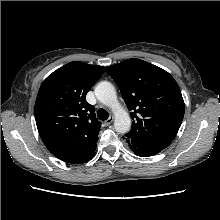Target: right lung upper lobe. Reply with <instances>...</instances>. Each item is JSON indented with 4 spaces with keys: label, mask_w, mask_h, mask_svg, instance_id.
<instances>
[{
    "label": "right lung upper lobe",
    "mask_w": 220,
    "mask_h": 220,
    "mask_svg": "<svg viewBox=\"0 0 220 220\" xmlns=\"http://www.w3.org/2000/svg\"><path fill=\"white\" fill-rule=\"evenodd\" d=\"M103 66L73 61L51 73L35 102L36 125L47 149L60 160L78 164L97 147L100 123L86 94Z\"/></svg>",
    "instance_id": "obj_1"
}]
</instances>
